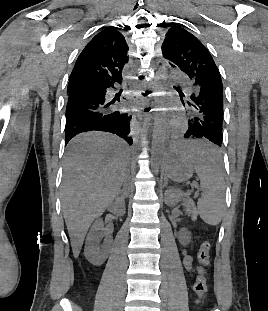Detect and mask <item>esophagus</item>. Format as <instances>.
Instances as JSON below:
<instances>
[{
    "label": "esophagus",
    "mask_w": 268,
    "mask_h": 311,
    "mask_svg": "<svg viewBox=\"0 0 268 311\" xmlns=\"http://www.w3.org/2000/svg\"><path fill=\"white\" fill-rule=\"evenodd\" d=\"M151 90H152V85H147L146 90L143 89V90H141V92H139L140 102H142L141 106L139 107L140 110L138 112V117L140 119H142V117H143V108L146 104L145 99L148 95H150Z\"/></svg>",
    "instance_id": "obj_1"
}]
</instances>
